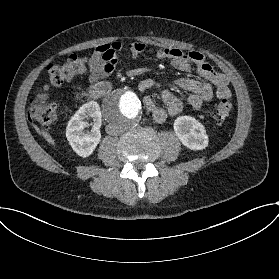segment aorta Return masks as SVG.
Wrapping results in <instances>:
<instances>
[{"instance_id": "aorta-1", "label": "aorta", "mask_w": 279, "mask_h": 279, "mask_svg": "<svg viewBox=\"0 0 279 279\" xmlns=\"http://www.w3.org/2000/svg\"><path fill=\"white\" fill-rule=\"evenodd\" d=\"M142 111L139 97L126 87L111 91L103 101V113L106 121L123 130L137 125Z\"/></svg>"}]
</instances>
